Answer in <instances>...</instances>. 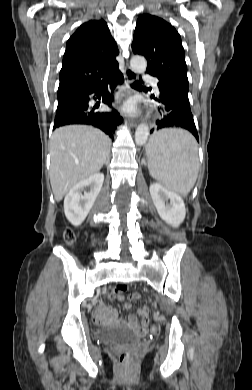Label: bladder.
Masks as SVG:
<instances>
[{
    "mask_svg": "<svg viewBox=\"0 0 252 390\" xmlns=\"http://www.w3.org/2000/svg\"><path fill=\"white\" fill-rule=\"evenodd\" d=\"M95 338L100 342H121L126 344L137 341L131 332L116 326H99L95 333Z\"/></svg>",
    "mask_w": 252,
    "mask_h": 390,
    "instance_id": "bladder-1",
    "label": "bladder"
}]
</instances>
